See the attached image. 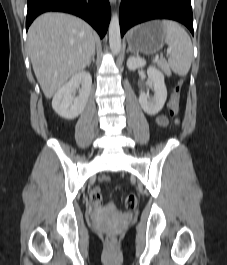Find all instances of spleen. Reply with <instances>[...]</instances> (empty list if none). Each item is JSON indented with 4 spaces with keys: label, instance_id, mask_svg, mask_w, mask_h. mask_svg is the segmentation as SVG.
I'll list each match as a JSON object with an SVG mask.
<instances>
[{
    "label": "spleen",
    "instance_id": "spleen-1",
    "mask_svg": "<svg viewBox=\"0 0 227 265\" xmlns=\"http://www.w3.org/2000/svg\"><path fill=\"white\" fill-rule=\"evenodd\" d=\"M165 28V42L172 51L168 59V66L180 76L187 75L193 57L192 42L187 32L175 21L163 20Z\"/></svg>",
    "mask_w": 227,
    "mask_h": 265
}]
</instances>
